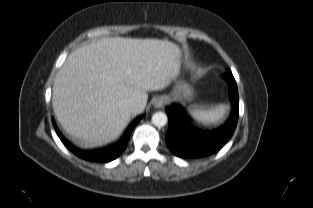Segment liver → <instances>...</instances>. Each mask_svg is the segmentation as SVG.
Wrapping results in <instances>:
<instances>
[{
	"label": "liver",
	"mask_w": 313,
	"mask_h": 208,
	"mask_svg": "<svg viewBox=\"0 0 313 208\" xmlns=\"http://www.w3.org/2000/svg\"><path fill=\"white\" fill-rule=\"evenodd\" d=\"M179 46L160 39L104 38L72 52L59 70L52 104L61 128L78 145L94 148L120 137L130 114L141 113L148 91L163 90L179 71Z\"/></svg>",
	"instance_id": "6515ba94"
}]
</instances>
